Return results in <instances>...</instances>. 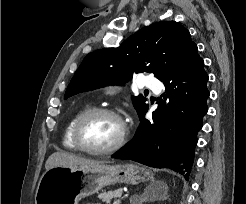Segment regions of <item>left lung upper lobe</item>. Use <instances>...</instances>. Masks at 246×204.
<instances>
[{"label": "left lung upper lobe", "mask_w": 246, "mask_h": 204, "mask_svg": "<svg viewBox=\"0 0 246 204\" xmlns=\"http://www.w3.org/2000/svg\"><path fill=\"white\" fill-rule=\"evenodd\" d=\"M195 45L189 31L174 21L157 22L140 29L117 48L89 53L75 72L65 99L110 84H122L134 73L150 72L162 81ZM142 95L133 97L140 115L148 106Z\"/></svg>", "instance_id": "5c2ea615"}]
</instances>
